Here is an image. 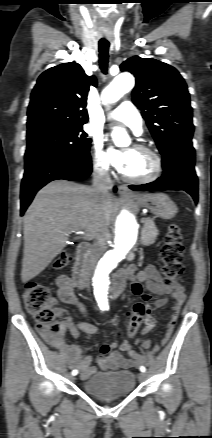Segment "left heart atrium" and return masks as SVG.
<instances>
[{
    "mask_svg": "<svg viewBox=\"0 0 212 438\" xmlns=\"http://www.w3.org/2000/svg\"><path fill=\"white\" fill-rule=\"evenodd\" d=\"M131 154V149L125 150V151H116L111 149V157H112V162L114 164V166L119 169L121 172H123V170L125 169L129 157Z\"/></svg>",
    "mask_w": 212,
    "mask_h": 438,
    "instance_id": "left-heart-atrium-1",
    "label": "left heart atrium"
}]
</instances>
